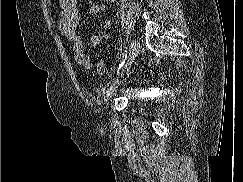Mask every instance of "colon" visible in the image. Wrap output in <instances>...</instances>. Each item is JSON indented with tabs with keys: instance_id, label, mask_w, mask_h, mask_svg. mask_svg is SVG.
I'll use <instances>...</instances> for the list:
<instances>
[{
	"instance_id": "obj_1",
	"label": "colon",
	"mask_w": 243,
	"mask_h": 182,
	"mask_svg": "<svg viewBox=\"0 0 243 182\" xmlns=\"http://www.w3.org/2000/svg\"><path fill=\"white\" fill-rule=\"evenodd\" d=\"M96 72L98 75L102 76L106 73V67L105 64L102 61H98L95 64Z\"/></svg>"
}]
</instances>
